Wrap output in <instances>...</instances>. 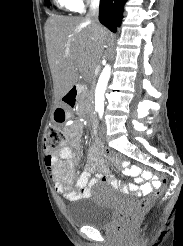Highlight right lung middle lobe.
Returning <instances> with one entry per match:
<instances>
[{"instance_id": "1", "label": "right lung middle lobe", "mask_w": 183, "mask_h": 246, "mask_svg": "<svg viewBox=\"0 0 183 246\" xmlns=\"http://www.w3.org/2000/svg\"><path fill=\"white\" fill-rule=\"evenodd\" d=\"M46 4L49 6V0H45Z\"/></svg>"}]
</instances>
